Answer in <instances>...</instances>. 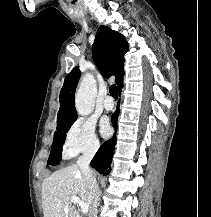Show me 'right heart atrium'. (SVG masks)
<instances>
[{
    "mask_svg": "<svg viewBox=\"0 0 211 217\" xmlns=\"http://www.w3.org/2000/svg\"><path fill=\"white\" fill-rule=\"evenodd\" d=\"M99 145L94 124L85 118H79L67 131L63 149L67 157L73 158L81 153H94Z\"/></svg>",
    "mask_w": 211,
    "mask_h": 217,
    "instance_id": "d8ad5b80",
    "label": "right heart atrium"
}]
</instances>
